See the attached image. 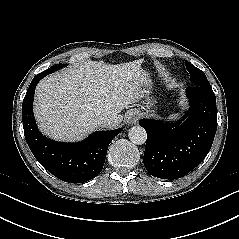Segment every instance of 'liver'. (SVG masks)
<instances>
[{
  "label": "liver",
  "instance_id": "6515ba94",
  "mask_svg": "<svg viewBox=\"0 0 239 239\" xmlns=\"http://www.w3.org/2000/svg\"><path fill=\"white\" fill-rule=\"evenodd\" d=\"M142 60L111 65L88 61L51 74L39 82L34 115L40 130L55 140L78 141L99 127L101 115L123 120L120 112L144 97L148 73ZM102 127V126H101Z\"/></svg>",
  "mask_w": 239,
  "mask_h": 239
}]
</instances>
